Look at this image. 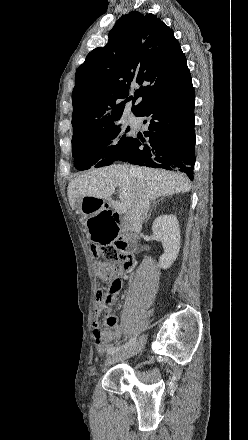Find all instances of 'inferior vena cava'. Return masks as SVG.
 Listing matches in <instances>:
<instances>
[{"label": "inferior vena cava", "instance_id": "obj_1", "mask_svg": "<svg viewBox=\"0 0 248 440\" xmlns=\"http://www.w3.org/2000/svg\"><path fill=\"white\" fill-rule=\"evenodd\" d=\"M130 173L133 176H138L139 171L135 167L130 168ZM150 199L143 185H140L139 192L135 198L133 206L125 215V226L130 230H139L142 228L143 221L147 216L149 210Z\"/></svg>", "mask_w": 248, "mask_h": 440}]
</instances>
